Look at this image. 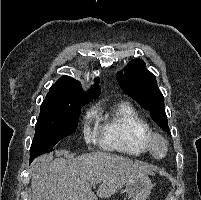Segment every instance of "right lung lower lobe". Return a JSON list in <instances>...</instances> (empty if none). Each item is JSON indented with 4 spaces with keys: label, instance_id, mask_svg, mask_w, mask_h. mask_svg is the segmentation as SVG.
<instances>
[{
    "label": "right lung lower lobe",
    "instance_id": "1",
    "mask_svg": "<svg viewBox=\"0 0 201 200\" xmlns=\"http://www.w3.org/2000/svg\"><path fill=\"white\" fill-rule=\"evenodd\" d=\"M41 149V152H50L53 150V147L51 148H46V147H39ZM35 158L33 156H30V163L34 160Z\"/></svg>",
    "mask_w": 201,
    "mask_h": 200
}]
</instances>
